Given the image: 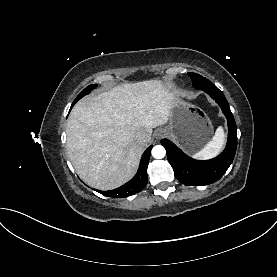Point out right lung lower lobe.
<instances>
[{
    "mask_svg": "<svg viewBox=\"0 0 277 277\" xmlns=\"http://www.w3.org/2000/svg\"><path fill=\"white\" fill-rule=\"evenodd\" d=\"M152 147L153 146L151 145L144 152L140 161L139 169L136 175L133 177V179H131L126 184L120 186L119 188H116L111 191H99V190H96V191L101 193L104 196H109L113 198L128 197L142 191L148 182L147 167H148L150 152Z\"/></svg>",
    "mask_w": 277,
    "mask_h": 277,
    "instance_id": "98d812e1",
    "label": "right lung lower lobe"
}]
</instances>
